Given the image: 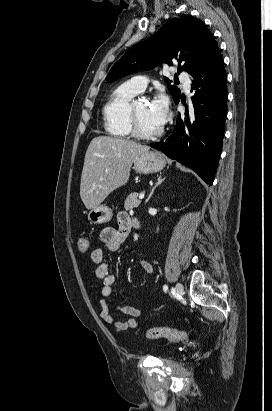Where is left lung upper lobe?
<instances>
[{
  "label": "left lung upper lobe",
  "mask_w": 272,
  "mask_h": 411,
  "mask_svg": "<svg viewBox=\"0 0 272 411\" xmlns=\"http://www.w3.org/2000/svg\"><path fill=\"white\" fill-rule=\"evenodd\" d=\"M218 49L212 33L204 23L190 15L167 22L154 36L130 48L111 68L106 81L114 82L128 74L148 70L160 63L172 65L179 55L178 73L188 72L193 78L204 68ZM182 64V65H181ZM168 84L174 102L180 99V90L171 81Z\"/></svg>",
  "instance_id": "1"
}]
</instances>
